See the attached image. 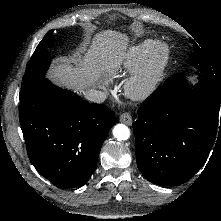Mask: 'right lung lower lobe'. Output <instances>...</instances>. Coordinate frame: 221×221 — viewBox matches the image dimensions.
I'll return each instance as SVG.
<instances>
[{"label": "right lung lower lobe", "instance_id": "1", "mask_svg": "<svg viewBox=\"0 0 221 221\" xmlns=\"http://www.w3.org/2000/svg\"><path fill=\"white\" fill-rule=\"evenodd\" d=\"M21 129L36 170L61 189L80 187L95 171L116 116L43 78L20 98Z\"/></svg>", "mask_w": 221, "mask_h": 221}]
</instances>
